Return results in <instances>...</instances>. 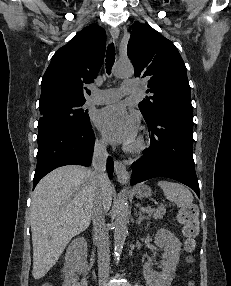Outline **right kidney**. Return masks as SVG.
Listing matches in <instances>:
<instances>
[{"label": "right kidney", "instance_id": "obj_1", "mask_svg": "<svg viewBox=\"0 0 231 286\" xmlns=\"http://www.w3.org/2000/svg\"><path fill=\"white\" fill-rule=\"evenodd\" d=\"M87 243L84 238H77L69 245L64 266V282L62 286H88L85 279L79 280L78 274L87 269Z\"/></svg>", "mask_w": 231, "mask_h": 286}]
</instances>
